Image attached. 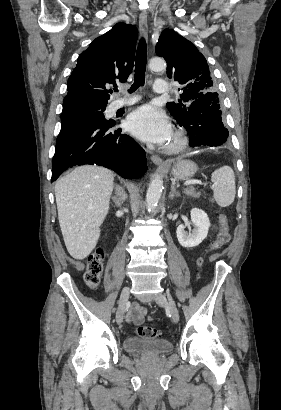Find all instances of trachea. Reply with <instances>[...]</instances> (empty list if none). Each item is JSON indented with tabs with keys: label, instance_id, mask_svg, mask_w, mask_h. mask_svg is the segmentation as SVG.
<instances>
[{
	"label": "trachea",
	"instance_id": "3493384b",
	"mask_svg": "<svg viewBox=\"0 0 281 410\" xmlns=\"http://www.w3.org/2000/svg\"><path fill=\"white\" fill-rule=\"evenodd\" d=\"M146 62H147V50H146V42L144 38H141L138 44L136 61H135V74H134V83L129 89V93L134 92L140 86L144 85L145 82V70H146ZM114 91H118L115 87Z\"/></svg>",
	"mask_w": 281,
	"mask_h": 410
}]
</instances>
